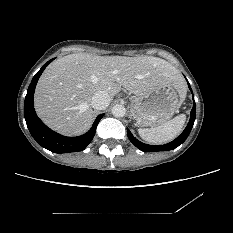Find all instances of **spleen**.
Here are the masks:
<instances>
[{"mask_svg":"<svg viewBox=\"0 0 233 233\" xmlns=\"http://www.w3.org/2000/svg\"><path fill=\"white\" fill-rule=\"evenodd\" d=\"M186 120L185 114H180L155 128L138 129L139 136L151 144H163L176 138L182 131Z\"/></svg>","mask_w":233,"mask_h":233,"instance_id":"1","label":"spleen"}]
</instances>
